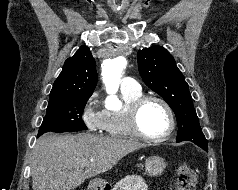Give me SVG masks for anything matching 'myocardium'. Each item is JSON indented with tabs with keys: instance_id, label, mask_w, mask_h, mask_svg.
I'll return each mask as SVG.
<instances>
[{
	"instance_id": "f54148a6",
	"label": "myocardium",
	"mask_w": 238,
	"mask_h": 190,
	"mask_svg": "<svg viewBox=\"0 0 238 190\" xmlns=\"http://www.w3.org/2000/svg\"><path fill=\"white\" fill-rule=\"evenodd\" d=\"M149 102L159 103L168 114L170 126L167 132L163 134L162 136H158V137L149 136L141 129V126L139 123L140 112L143 109V107ZM128 124H129L131 132L133 133L135 137L141 140H144L146 142L159 143V142L166 141L171 137L176 127V119H175V115L172 108L164 99L154 95H143L137 98L136 100H134L130 104L128 108Z\"/></svg>"
}]
</instances>
